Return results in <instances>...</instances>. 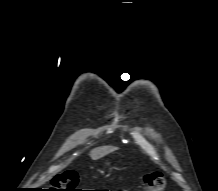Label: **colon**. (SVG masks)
<instances>
[{"mask_svg":"<svg viewBox=\"0 0 218 191\" xmlns=\"http://www.w3.org/2000/svg\"><path fill=\"white\" fill-rule=\"evenodd\" d=\"M53 182L59 191H80L77 189L78 176L74 172H64L57 175ZM166 180L160 172H150L144 176L143 191H164Z\"/></svg>","mask_w":218,"mask_h":191,"instance_id":"1","label":"colon"}]
</instances>
